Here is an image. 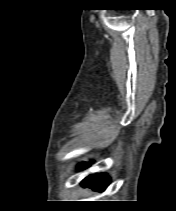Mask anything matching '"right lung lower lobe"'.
Instances as JSON below:
<instances>
[{
	"mask_svg": "<svg viewBox=\"0 0 176 211\" xmlns=\"http://www.w3.org/2000/svg\"><path fill=\"white\" fill-rule=\"evenodd\" d=\"M88 166L87 163H83L79 166L80 169L86 168ZM109 183V178L106 174H95L90 175L85 178L82 182L84 187H91L97 191H103L107 187Z\"/></svg>",
	"mask_w": 176,
	"mask_h": 211,
	"instance_id": "98d812e1",
	"label": "right lung lower lobe"
}]
</instances>
